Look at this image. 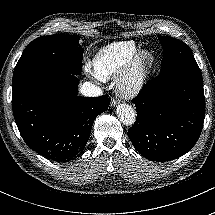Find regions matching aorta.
<instances>
[{
	"mask_svg": "<svg viewBox=\"0 0 215 215\" xmlns=\"http://www.w3.org/2000/svg\"><path fill=\"white\" fill-rule=\"evenodd\" d=\"M116 113L119 120L127 126L134 124L136 121V111L129 104H118L116 108Z\"/></svg>",
	"mask_w": 215,
	"mask_h": 215,
	"instance_id": "obj_1",
	"label": "aorta"
}]
</instances>
